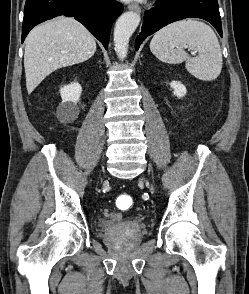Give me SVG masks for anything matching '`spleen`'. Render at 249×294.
Here are the masks:
<instances>
[{
    "instance_id": "obj_1",
    "label": "spleen",
    "mask_w": 249,
    "mask_h": 294,
    "mask_svg": "<svg viewBox=\"0 0 249 294\" xmlns=\"http://www.w3.org/2000/svg\"><path fill=\"white\" fill-rule=\"evenodd\" d=\"M198 53L190 57L184 48ZM151 52L162 62L185 61L187 71L203 81L216 79L222 69V52L212 28L195 19L173 22L156 32L150 43Z\"/></svg>"
}]
</instances>
